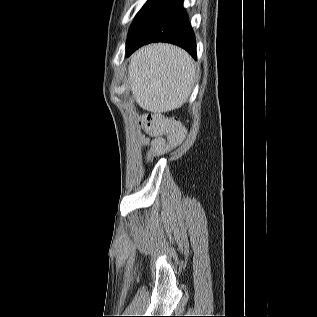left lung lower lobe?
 <instances>
[{
    "label": "left lung lower lobe",
    "mask_w": 317,
    "mask_h": 317,
    "mask_svg": "<svg viewBox=\"0 0 317 317\" xmlns=\"http://www.w3.org/2000/svg\"><path fill=\"white\" fill-rule=\"evenodd\" d=\"M153 42H167L185 49L196 59L195 36L181 0H168L126 44V54Z\"/></svg>",
    "instance_id": "0a47b994"
}]
</instances>
